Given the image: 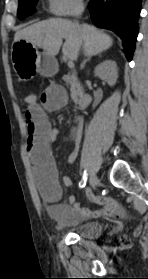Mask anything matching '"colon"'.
Returning a JSON list of instances; mask_svg holds the SVG:
<instances>
[{"mask_svg": "<svg viewBox=\"0 0 148 279\" xmlns=\"http://www.w3.org/2000/svg\"><path fill=\"white\" fill-rule=\"evenodd\" d=\"M37 100H38V97L34 92H27L24 97V101L28 106L35 104L37 102ZM117 209H118V207L116 208V210ZM123 245H125V246L128 245V241L124 240Z\"/></svg>", "mask_w": 148, "mask_h": 279, "instance_id": "5ec220e1", "label": "colon"}]
</instances>
